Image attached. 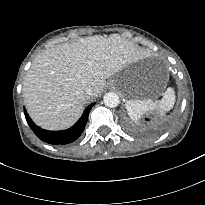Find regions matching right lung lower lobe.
Segmentation results:
<instances>
[{"instance_id":"98d812e1","label":"right lung lower lobe","mask_w":205,"mask_h":205,"mask_svg":"<svg viewBox=\"0 0 205 205\" xmlns=\"http://www.w3.org/2000/svg\"><path fill=\"white\" fill-rule=\"evenodd\" d=\"M94 103L90 104L83 112L81 118L74 124L71 128L63 131H47L39 128L35 123L31 120L29 115L27 114L25 108L24 113L26 120L36 134V136L44 142L50 144H68L75 141L84 131L85 125L88 120L89 111L92 108Z\"/></svg>"}]
</instances>
